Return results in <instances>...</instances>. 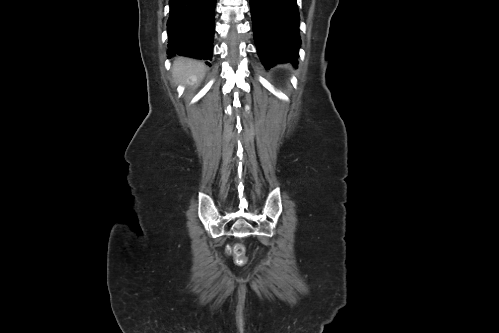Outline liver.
Segmentation results:
<instances>
[{
	"mask_svg": "<svg viewBox=\"0 0 499 333\" xmlns=\"http://www.w3.org/2000/svg\"><path fill=\"white\" fill-rule=\"evenodd\" d=\"M205 65L194 59L177 57L173 62V76L177 82L194 85L198 83L205 74Z\"/></svg>",
	"mask_w": 499,
	"mask_h": 333,
	"instance_id": "6515ba94",
	"label": "liver"
}]
</instances>
